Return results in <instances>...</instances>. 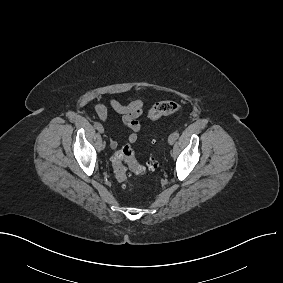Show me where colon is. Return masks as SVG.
I'll use <instances>...</instances> for the list:
<instances>
[{"label":"colon","instance_id":"colon-1","mask_svg":"<svg viewBox=\"0 0 283 283\" xmlns=\"http://www.w3.org/2000/svg\"><path fill=\"white\" fill-rule=\"evenodd\" d=\"M181 106L174 101H160L155 103L149 110L148 116L151 120H158L179 112ZM114 178L124 188L131 189L130 172L135 175H143L153 172L157 168V161L151 157L145 164L137 161L134 151L130 146H123L112 157Z\"/></svg>","mask_w":283,"mask_h":283}]
</instances>
